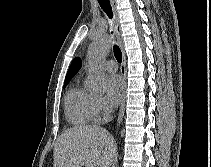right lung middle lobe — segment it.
Masks as SVG:
<instances>
[{"label":"right lung middle lobe","mask_w":211,"mask_h":167,"mask_svg":"<svg viewBox=\"0 0 211 167\" xmlns=\"http://www.w3.org/2000/svg\"><path fill=\"white\" fill-rule=\"evenodd\" d=\"M69 83V81H65L64 82V87Z\"/></svg>","instance_id":"obj_1"}]
</instances>
